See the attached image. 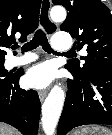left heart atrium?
Instances as JSON below:
<instances>
[{"instance_id":"left-heart-atrium-1","label":"left heart atrium","mask_w":112,"mask_h":135,"mask_svg":"<svg viewBox=\"0 0 112 135\" xmlns=\"http://www.w3.org/2000/svg\"><path fill=\"white\" fill-rule=\"evenodd\" d=\"M55 77L53 68L48 64L32 67L25 76V84L30 88L43 89L50 85Z\"/></svg>"}]
</instances>
